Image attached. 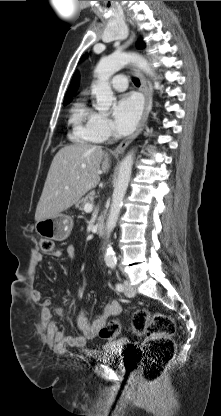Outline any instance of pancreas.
<instances>
[{
	"mask_svg": "<svg viewBox=\"0 0 221 416\" xmlns=\"http://www.w3.org/2000/svg\"><path fill=\"white\" fill-rule=\"evenodd\" d=\"M94 198H95V191H91L85 197H83L77 202L76 208H78L81 211L84 210V205L89 203L90 201H93Z\"/></svg>",
	"mask_w": 221,
	"mask_h": 416,
	"instance_id": "pancreas-1",
	"label": "pancreas"
}]
</instances>
